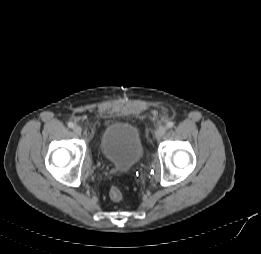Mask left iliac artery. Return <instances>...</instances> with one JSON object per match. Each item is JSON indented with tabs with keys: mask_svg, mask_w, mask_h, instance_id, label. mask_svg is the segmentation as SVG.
I'll list each match as a JSON object with an SVG mask.
<instances>
[{
	"mask_svg": "<svg viewBox=\"0 0 261 254\" xmlns=\"http://www.w3.org/2000/svg\"><path fill=\"white\" fill-rule=\"evenodd\" d=\"M167 128H172L174 126V122L173 121H169L167 124H166Z\"/></svg>",
	"mask_w": 261,
	"mask_h": 254,
	"instance_id": "1",
	"label": "left iliac artery"
}]
</instances>
